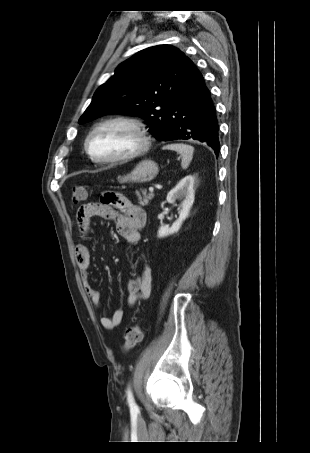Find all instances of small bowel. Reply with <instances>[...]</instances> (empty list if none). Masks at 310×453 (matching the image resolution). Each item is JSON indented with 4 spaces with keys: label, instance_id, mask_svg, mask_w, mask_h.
Instances as JSON below:
<instances>
[{
    "label": "small bowel",
    "instance_id": "small-bowel-1",
    "mask_svg": "<svg viewBox=\"0 0 310 453\" xmlns=\"http://www.w3.org/2000/svg\"><path fill=\"white\" fill-rule=\"evenodd\" d=\"M103 217L116 221L117 232L130 245L137 247L141 242L140 231L146 223V213L138 205L133 204L120 194L111 193L108 201L89 202L77 210L76 220L81 239H87L92 217ZM76 262L82 274L85 290L95 308L102 306L99 292L90 282V252L84 243H79L75 249ZM142 259L144 256L141 255ZM151 270L144 264L141 273L128 282L127 304L134 306L138 301L146 300L151 294ZM124 318L123 309H117L110 317H102L100 322L104 329L112 330L118 327Z\"/></svg>",
    "mask_w": 310,
    "mask_h": 453
}]
</instances>
